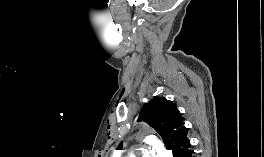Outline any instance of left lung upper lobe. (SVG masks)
Returning <instances> with one entry per match:
<instances>
[{"label":"left lung upper lobe","mask_w":264,"mask_h":157,"mask_svg":"<svg viewBox=\"0 0 264 157\" xmlns=\"http://www.w3.org/2000/svg\"><path fill=\"white\" fill-rule=\"evenodd\" d=\"M138 121H145L154 128L161 135L168 150L173 151L188 139L184 118L176 104L164 97L154 98L146 104L140 112Z\"/></svg>","instance_id":"left-lung-upper-lobe-1"}]
</instances>
